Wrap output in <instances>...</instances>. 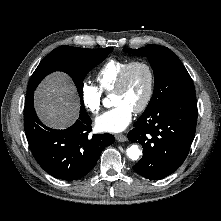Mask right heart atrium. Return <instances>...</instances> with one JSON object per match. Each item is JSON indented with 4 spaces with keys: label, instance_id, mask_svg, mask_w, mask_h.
<instances>
[{
    "label": "right heart atrium",
    "instance_id": "d8ad5b80",
    "mask_svg": "<svg viewBox=\"0 0 221 221\" xmlns=\"http://www.w3.org/2000/svg\"><path fill=\"white\" fill-rule=\"evenodd\" d=\"M81 100L84 107L92 114L98 113L102 108V92L89 82L82 83Z\"/></svg>",
    "mask_w": 221,
    "mask_h": 221
}]
</instances>
